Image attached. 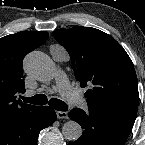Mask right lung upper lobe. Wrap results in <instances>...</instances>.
Returning a JSON list of instances; mask_svg holds the SVG:
<instances>
[{
	"label": "right lung upper lobe",
	"instance_id": "right-lung-upper-lobe-1",
	"mask_svg": "<svg viewBox=\"0 0 145 145\" xmlns=\"http://www.w3.org/2000/svg\"><path fill=\"white\" fill-rule=\"evenodd\" d=\"M48 36L47 32L21 31L0 38V124L35 107L17 98L25 92L22 62Z\"/></svg>",
	"mask_w": 145,
	"mask_h": 145
}]
</instances>
